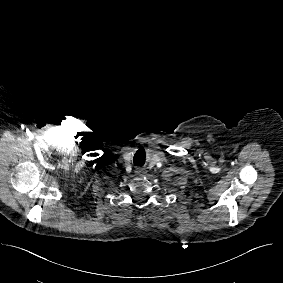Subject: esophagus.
<instances>
[{
    "mask_svg": "<svg viewBox=\"0 0 283 283\" xmlns=\"http://www.w3.org/2000/svg\"><path fill=\"white\" fill-rule=\"evenodd\" d=\"M136 172L138 173V175H140V173H141L142 171H141V169H138Z\"/></svg>",
    "mask_w": 283,
    "mask_h": 283,
    "instance_id": "obj_1",
    "label": "esophagus"
}]
</instances>
